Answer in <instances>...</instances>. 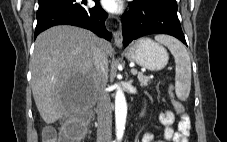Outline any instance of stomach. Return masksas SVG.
<instances>
[{"label": "stomach", "mask_w": 227, "mask_h": 142, "mask_svg": "<svg viewBox=\"0 0 227 142\" xmlns=\"http://www.w3.org/2000/svg\"><path fill=\"white\" fill-rule=\"evenodd\" d=\"M126 57L151 71L161 70L169 59L166 49L149 38H141L132 43L126 51Z\"/></svg>", "instance_id": "0dacf381"}]
</instances>
